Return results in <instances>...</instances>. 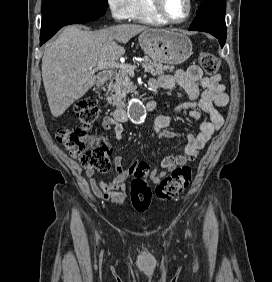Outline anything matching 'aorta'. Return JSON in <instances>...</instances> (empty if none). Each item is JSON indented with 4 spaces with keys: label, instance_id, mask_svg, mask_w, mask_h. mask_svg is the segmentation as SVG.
Returning a JSON list of instances; mask_svg holds the SVG:
<instances>
[{
    "label": "aorta",
    "instance_id": "obj_1",
    "mask_svg": "<svg viewBox=\"0 0 272 282\" xmlns=\"http://www.w3.org/2000/svg\"><path fill=\"white\" fill-rule=\"evenodd\" d=\"M130 104H131L130 113H131L132 121L135 123L143 122V120L145 119V112L143 110L140 100L136 98L132 99Z\"/></svg>",
    "mask_w": 272,
    "mask_h": 282
}]
</instances>
